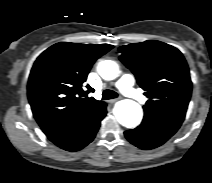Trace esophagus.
<instances>
[{"instance_id": "34e87169", "label": "esophagus", "mask_w": 212, "mask_h": 183, "mask_svg": "<svg viewBox=\"0 0 212 183\" xmlns=\"http://www.w3.org/2000/svg\"><path fill=\"white\" fill-rule=\"evenodd\" d=\"M118 100H119V98L111 99V100H109V102H110V103H115V102L118 101Z\"/></svg>"}]
</instances>
